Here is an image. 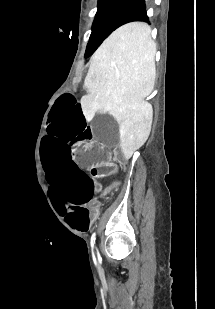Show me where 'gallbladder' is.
Wrapping results in <instances>:
<instances>
[{
	"label": "gallbladder",
	"instance_id": "1",
	"mask_svg": "<svg viewBox=\"0 0 215 309\" xmlns=\"http://www.w3.org/2000/svg\"><path fill=\"white\" fill-rule=\"evenodd\" d=\"M117 123L108 113H97L91 130L104 148H117L120 138Z\"/></svg>",
	"mask_w": 215,
	"mask_h": 309
}]
</instances>
